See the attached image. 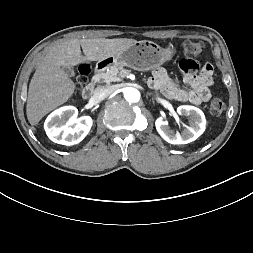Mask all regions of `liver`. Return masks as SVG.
I'll use <instances>...</instances> for the list:
<instances>
[{"label": "liver", "mask_w": 253, "mask_h": 253, "mask_svg": "<svg viewBox=\"0 0 253 253\" xmlns=\"http://www.w3.org/2000/svg\"><path fill=\"white\" fill-rule=\"evenodd\" d=\"M137 42L135 39L91 38L71 39L52 46L31 79L26 114L31 125H36L50 111L67 102L75 91V84L64 67L84 61H100L116 55ZM85 56L81 54V48Z\"/></svg>", "instance_id": "liver-1"}]
</instances>
